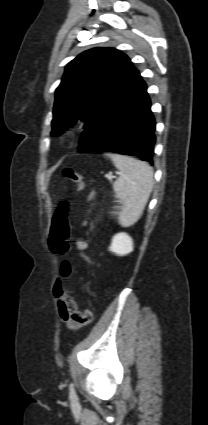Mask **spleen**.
Listing matches in <instances>:
<instances>
[{
  "label": "spleen",
  "mask_w": 208,
  "mask_h": 425,
  "mask_svg": "<svg viewBox=\"0 0 208 425\" xmlns=\"http://www.w3.org/2000/svg\"><path fill=\"white\" fill-rule=\"evenodd\" d=\"M120 177L114 182L115 197L121 204L115 213L121 226L133 225L141 217L153 188V169L144 162L119 154H108Z\"/></svg>",
  "instance_id": "1"
}]
</instances>
